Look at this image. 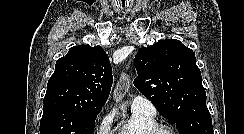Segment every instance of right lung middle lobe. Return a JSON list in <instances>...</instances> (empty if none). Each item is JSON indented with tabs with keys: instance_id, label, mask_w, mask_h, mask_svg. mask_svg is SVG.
<instances>
[{
	"instance_id": "1",
	"label": "right lung middle lobe",
	"mask_w": 244,
	"mask_h": 134,
	"mask_svg": "<svg viewBox=\"0 0 244 134\" xmlns=\"http://www.w3.org/2000/svg\"><path fill=\"white\" fill-rule=\"evenodd\" d=\"M40 134H93L98 113L86 112L61 103L44 105Z\"/></svg>"
}]
</instances>
